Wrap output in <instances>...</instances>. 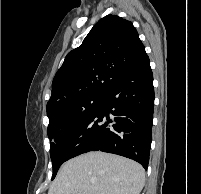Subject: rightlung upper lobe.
<instances>
[{"label": "right lung upper lobe", "mask_w": 201, "mask_h": 194, "mask_svg": "<svg viewBox=\"0 0 201 194\" xmlns=\"http://www.w3.org/2000/svg\"><path fill=\"white\" fill-rule=\"evenodd\" d=\"M147 54L133 24L116 15L100 19L66 56L52 82L47 115L80 99L104 95Z\"/></svg>", "instance_id": "1"}]
</instances>
